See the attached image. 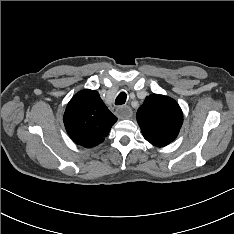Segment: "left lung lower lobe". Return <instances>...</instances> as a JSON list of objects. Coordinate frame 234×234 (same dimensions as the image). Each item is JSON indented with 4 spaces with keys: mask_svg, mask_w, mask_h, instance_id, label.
<instances>
[{
    "mask_svg": "<svg viewBox=\"0 0 234 234\" xmlns=\"http://www.w3.org/2000/svg\"><path fill=\"white\" fill-rule=\"evenodd\" d=\"M166 145H168V144H161L158 147H163V146H166Z\"/></svg>",
    "mask_w": 234,
    "mask_h": 234,
    "instance_id": "0a47b994",
    "label": "left lung lower lobe"
}]
</instances>
